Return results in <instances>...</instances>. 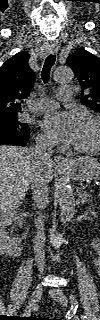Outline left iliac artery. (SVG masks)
Masks as SVG:
<instances>
[{
    "instance_id": "obj_1",
    "label": "left iliac artery",
    "mask_w": 100,
    "mask_h": 320,
    "mask_svg": "<svg viewBox=\"0 0 100 320\" xmlns=\"http://www.w3.org/2000/svg\"><path fill=\"white\" fill-rule=\"evenodd\" d=\"M69 299H70V302H71V307L74 311L78 310L79 308V305H78V302L75 298V296L73 295L72 292L69 293ZM81 319L82 320H86L87 317L84 315V314H81Z\"/></svg>"
}]
</instances>
